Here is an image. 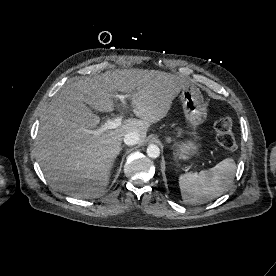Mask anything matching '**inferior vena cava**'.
I'll use <instances>...</instances> for the list:
<instances>
[{
	"label": "inferior vena cava",
	"mask_w": 276,
	"mask_h": 276,
	"mask_svg": "<svg viewBox=\"0 0 276 276\" xmlns=\"http://www.w3.org/2000/svg\"><path fill=\"white\" fill-rule=\"evenodd\" d=\"M139 141L140 136L137 132H129L124 136V143L128 146L136 145Z\"/></svg>",
	"instance_id": "602c4592"
}]
</instances>
